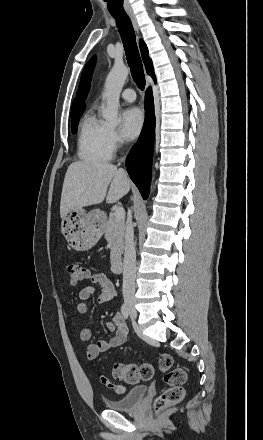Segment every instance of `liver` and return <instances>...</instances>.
<instances>
[{"label":"liver","mask_w":263,"mask_h":440,"mask_svg":"<svg viewBox=\"0 0 263 440\" xmlns=\"http://www.w3.org/2000/svg\"><path fill=\"white\" fill-rule=\"evenodd\" d=\"M130 187L126 172L111 163H71L62 187L60 216L65 217L72 209L100 204L105 198L107 203H115L128 193Z\"/></svg>","instance_id":"liver-1"}]
</instances>
